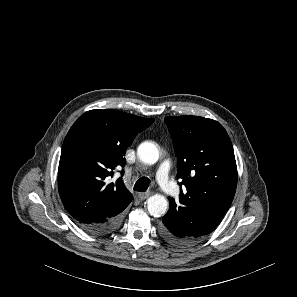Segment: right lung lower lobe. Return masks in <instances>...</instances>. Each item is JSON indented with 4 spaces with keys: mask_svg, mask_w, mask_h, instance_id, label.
Wrapping results in <instances>:
<instances>
[{
    "mask_svg": "<svg viewBox=\"0 0 297 297\" xmlns=\"http://www.w3.org/2000/svg\"><path fill=\"white\" fill-rule=\"evenodd\" d=\"M122 219V213H118L114 216L107 218L101 223H93L86 226H81L85 231L95 235H105L115 231Z\"/></svg>",
    "mask_w": 297,
    "mask_h": 297,
    "instance_id": "98d812e1",
    "label": "right lung lower lobe"
}]
</instances>
